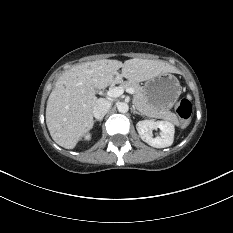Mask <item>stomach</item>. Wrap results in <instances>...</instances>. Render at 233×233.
<instances>
[{"label":"stomach","mask_w":233,"mask_h":233,"mask_svg":"<svg viewBox=\"0 0 233 233\" xmlns=\"http://www.w3.org/2000/svg\"><path fill=\"white\" fill-rule=\"evenodd\" d=\"M143 91L150 105L160 110H169L178 100L181 86L174 75L163 73L147 80Z\"/></svg>","instance_id":"0dacf381"}]
</instances>
